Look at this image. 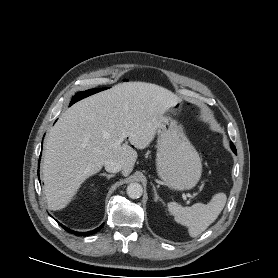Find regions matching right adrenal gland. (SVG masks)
<instances>
[{
  "instance_id": "1",
  "label": "right adrenal gland",
  "mask_w": 278,
  "mask_h": 278,
  "mask_svg": "<svg viewBox=\"0 0 278 278\" xmlns=\"http://www.w3.org/2000/svg\"><path fill=\"white\" fill-rule=\"evenodd\" d=\"M99 175L100 176H105L108 180L115 176V174H106V173H100Z\"/></svg>"
}]
</instances>
